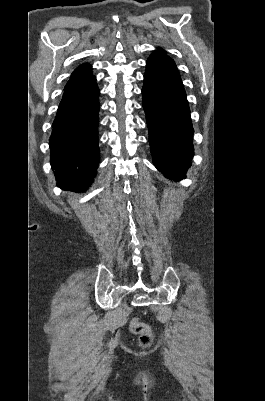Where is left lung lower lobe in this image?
<instances>
[{"mask_svg": "<svg viewBox=\"0 0 265 401\" xmlns=\"http://www.w3.org/2000/svg\"><path fill=\"white\" fill-rule=\"evenodd\" d=\"M142 95L156 168L168 178H184L193 156L194 130L186 93L172 59L148 58Z\"/></svg>", "mask_w": 265, "mask_h": 401, "instance_id": "left-lung-lower-lobe-1", "label": "left lung lower lobe"}]
</instances>
